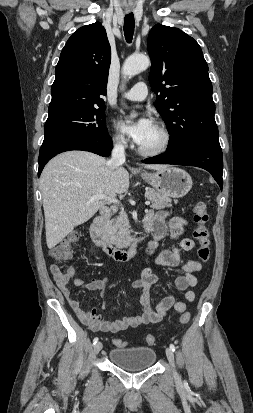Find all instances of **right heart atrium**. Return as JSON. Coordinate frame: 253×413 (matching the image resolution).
I'll return each mask as SVG.
<instances>
[{
	"label": "right heart atrium",
	"mask_w": 253,
	"mask_h": 413,
	"mask_svg": "<svg viewBox=\"0 0 253 413\" xmlns=\"http://www.w3.org/2000/svg\"><path fill=\"white\" fill-rule=\"evenodd\" d=\"M112 141L117 147H124L127 143L125 136L121 132H117L113 135Z\"/></svg>",
	"instance_id": "right-heart-atrium-1"
}]
</instances>
